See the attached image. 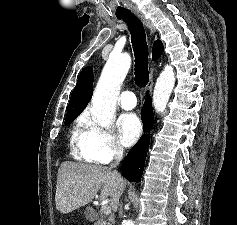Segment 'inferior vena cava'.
Masks as SVG:
<instances>
[{
    "instance_id": "602c4592",
    "label": "inferior vena cava",
    "mask_w": 237,
    "mask_h": 225,
    "mask_svg": "<svg viewBox=\"0 0 237 225\" xmlns=\"http://www.w3.org/2000/svg\"><path fill=\"white\" fill-rule=\"evenodd\" d=\"M123 152H124V150L121 146H119V145L114 146V162L109 167L110 169L114 168L113 174L119 182H122V178H121V175L119 174V172L115 168L119 165L120 161L122 160ZM119 206H120L119 210L121 213L122 204H119Z\"/></svg>"
}]
</instances>
